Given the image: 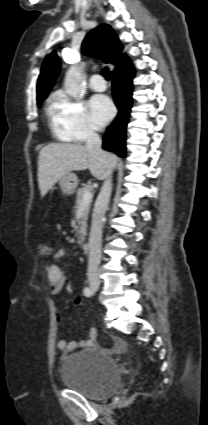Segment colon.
Segmentation results:
<instances>
[{
	"label": "colon",
	"mask_w": 208,
	"mask_h": 425,
	"mask_svg": "<svg viewBox=\"0 0 208 425\" xmlns=\"http://www.w3.org/2000/svg\"><path fill=\"white\" fill-rule=\"evenodd\" d=\"M39 252L44 255V256H49L53 253V248L47 244H40L39 247ZM76 302H79V299H76Z\"/></svg>",
	"instance_id": "obj_1"
}]
</instances>
